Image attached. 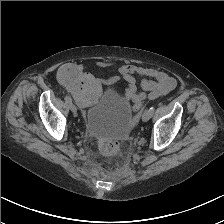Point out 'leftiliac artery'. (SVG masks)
<instances>
[{
  "instance_id": "1",
  "label": "left iliac artery",
  "mask_w": 224,
  "mask_h": 224,
  "mask_svg": "<svg viewBox=\"0 0 224 224\" xmlns=\"http://www.w3.org/2000/svg\"><path fill=\"white\" fill-rule=\"evenodd\" d=\"M154 110H155V107L154 106H151L150 109H149L151 115L154 113Z\"/></svg>"
}]
</instances>
